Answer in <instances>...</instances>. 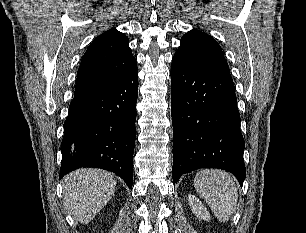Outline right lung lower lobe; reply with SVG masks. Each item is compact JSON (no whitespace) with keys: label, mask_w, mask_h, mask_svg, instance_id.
I'll use <instances>...</instances> for the list:
<instances>
[{"label":"right lung lower lobe","mask_w":306,"mask_h":233,"mask_svg":"<svg viewBox=\"0 0 306 233\" xmlns=\"http://www.w3.org/2000/svg\"><path fill=\"white\" fill-rule=\"evenodd\" d=\"M137 67L117 84L74 97L64 123L60 178L82 167L101 168L133 183Z\"/></svg>","instance_id":"right-lung-lower-lobe-1"}]
</instances>
